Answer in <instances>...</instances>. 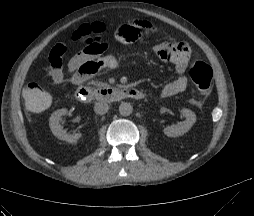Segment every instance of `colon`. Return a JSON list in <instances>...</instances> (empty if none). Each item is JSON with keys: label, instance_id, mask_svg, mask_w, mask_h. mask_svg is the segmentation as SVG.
I'll list each match as a JSON object with an SVG mask.
<instances>
[{"label": "colon", "instance_id": "colon-1", "mask_svg": "<svg viewBox=\"0 0 254 216\" xmlns=\"http://www.w3.org/2000/svg\"><path fill=\"white\" fill-rule=\"evenodd\" d=\"M104 24L94 22L81 26L74 34V41L80 46L93 47L104 51L108 47ZM188 74L196 88L203 94L209 93L213 82L212 68L200 60H192L188 65ZM27 107L34 112H42L49 106V94L37 83H30L23 91Z\"/></svg>", "mask_w": 254, "mask_h": 216}]
</instances>
